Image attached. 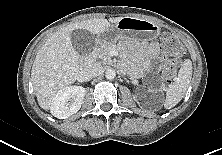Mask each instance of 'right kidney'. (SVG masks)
Listing matches in <instances>:
<instances>
[{"label": "right kidney", "mask_w": 222, "mask_h": 155, "mask_svg": "<svg viewBox=\"0 0 222 155\" xmlns=\"http://www.w3.org/2000/svg\"><path fill=\"white\" fill-rule=\"evenodd\" d=\"M85 96L82 86H67L53 98L50 110L53 116L65 119L75 114L81 108Z\"/></svg>", "instance_id": "ca27d5eb"}]
</instances>
